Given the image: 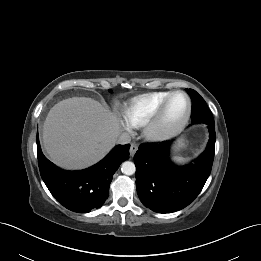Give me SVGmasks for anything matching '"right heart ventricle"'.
Wrapping results in <instances>:
<instances>
[{
	"label": "right heart ventricle",
	"mask_w": 261,
	"mask_h": 261,
	"mask_svg": "<svg viewBox=\"0 0 261 261\" xmlns=\"http://www.w3.org/2000/svg\"><path fill=\"white\" fill-rule=\"evenodd\" d=\"M171 92H151L133 98L123 107L127 124L133 128L145 126L156 114L161 104Z\"/></svg>",
	"instance_id": "1"
}]
</instances>
